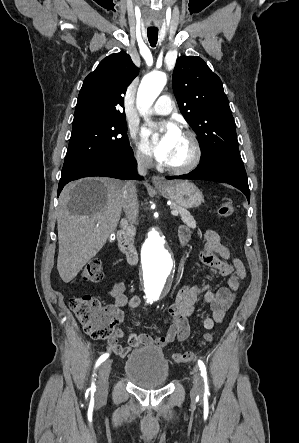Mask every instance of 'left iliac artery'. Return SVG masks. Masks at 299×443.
Returning a JSON list of instances; mask_svg holds the SVG:
<instances>
[{
    "label": "left iliac artery",
    "mask_w": 299,
    "mask_h": 443,
    "mask_svg": "<svg viewBox=\"0 0 299 443\" xmlns=\"http://www.w3.org/2000/svg\"><path fill=\"white\" fill-rule=\"evenodd\" d=\"M198 365L201 371V376L203 377L204 380V387H205V391L208 390V381H207V371H206V366L204 364V362L202 360H198Z\"/></svg>",
    "instance_id": "left-iliac-artery-1"
}]
</instances>
